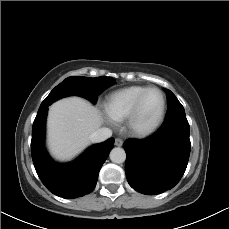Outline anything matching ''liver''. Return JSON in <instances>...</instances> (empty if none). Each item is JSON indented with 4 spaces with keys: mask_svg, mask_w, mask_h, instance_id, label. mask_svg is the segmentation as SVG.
Returning a JSON list of instances; mask_svg holds the SVG:
<instances>
[{
    "mask_svg": "<svg viewBox=\"0 0 229 229\" xmlns=\"http://www.w3.org/2000/svg\"><path fill=\"white\" fill-rule=\"evenodd\" d=\"M103 123L98 108L79 97H69L52 104L48 114V145L59 160H68L90 142V135Z\"/></svg>",
    "mask_w": 229,
    "mask_h": 229,
    "instance_id": "1",
    "label": "liver"
}]
</instances>
